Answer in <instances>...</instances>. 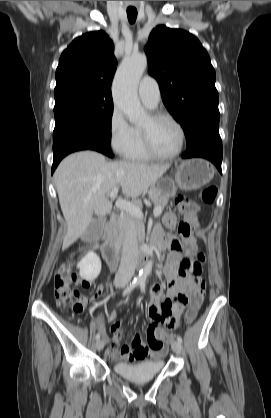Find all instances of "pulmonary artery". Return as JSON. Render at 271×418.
Listing matches in <instances>:
<instances>
[{"label": "pulmonary artery", "mask_w": 271, "mask_h": 418, "mask_svg": "<svg viewBox=\"0 0 271 418\" xmlns=\"http://www.w3.org/2000/svg\"><path fill=\"white\" fill-rule=\"evenodd\" d=\"M140 100L149 108L157 106L160 100V89L157 81L151 76H145L139 83Z\"/></svg>", "instance_id": "e3ab8cb5"}]
</instances>
